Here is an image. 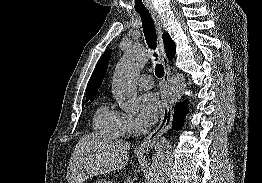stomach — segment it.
<instances>
[{"mask_svg": "<svg viewBox=\"0 0 262 183\" xmlns=\"http://www.w3.org/2000/svg\"><path fill=\"white\" fill-rule=\"evenodd\" d=\"M93 183H113V182L107 181L105 179H98V180H95V182H93Z\"/></svg>", "mask_w": 262, "mask_h": 183, "instance_id": "stomach-1", "label": "stomach"}]
</instances>
